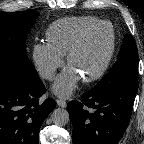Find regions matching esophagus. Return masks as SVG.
I'll return each instance as SVG.
<instances>
[{
    "label": "esophagus",
    "instance_id": "34e87169",
    "mask_svg": "<svg viewBox=\"0 0 144 144\" xmlns=\"http://www.w3.org/2000/svg\"><path fill=\"white\" fill-rule=\"evenodd\" d=\"M56 102H57L58 106H60L62 108H66V106H67V103L65 100L57 99Z\"/></svg>",
    "mask_w": 144,
    "mask_h": 144
}]
</instances>
